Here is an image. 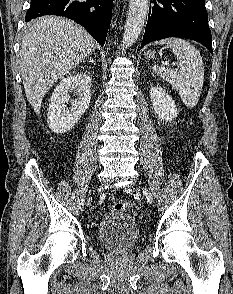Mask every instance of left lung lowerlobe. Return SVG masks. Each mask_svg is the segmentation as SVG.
Segmentation results:
<instances>
[{"mask_svg":"<svg viewBox=\"0 0 233 294\" xmlns=\"http://www.w3.org/2000/svg\"><path fill=\"white\" fill-rule=\"evenodd\" d=\"M167 37L195 40L213 54L205 0L151 1L141 48Z\"/></svg>","mask_w":233,"mask_h":294,"instance_id":"1","label":"left lung lower lobe"}]
</instances>
